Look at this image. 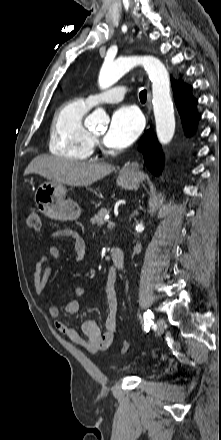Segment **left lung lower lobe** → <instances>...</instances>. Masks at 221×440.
<instances>
[{
    "mask_svg": "<svg viewBox=\"0 0 221 440\" xmlns=\"http://www.w3.org/2000/svg\"><path fill=\"white\" fill-rule=\"evenodd\" d=\"M175 102L181 116L184 130L194 132L200 115L196 111L197 100L190 93L191 87L171 80ZM139 150L143 153L145 165L155 175L159 174L163 155L158 146L157 138L152 130H148L139 142Z\"/></svg>",
    "mask_w": 221,
    "mask_h": 440,
    "instance_id": "left-lung-lower-lobe-1",
    "label": "left lung lower lobe"
}]
</instances>
